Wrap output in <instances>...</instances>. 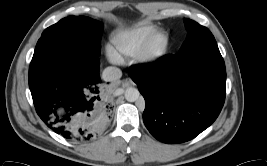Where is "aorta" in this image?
<instances>
[{
    "instance_id": "obj_1",
    "label": "aorta",
    "mask_w": 267,
    "mask_h": 166,
    "mask_svg": "<svg viewBox=\"0 0 267 166\" xmlns=\"http://www.w3.org/2000/svg\"><path fill=\"white\" fill-rule=\"evenodd\" d=\"M125 99L128 101V102H135L139 99L140 97V93L138 91V89L134 88V87H128L126 90H125Z\"/></svg>"
}]
</instances>
